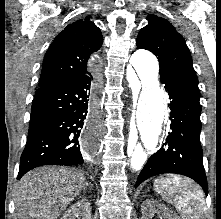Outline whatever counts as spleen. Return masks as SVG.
Returning a JSON list of instances; mask_svg holds the SVG:
<instances>
[{"instance_id": "spleen-1", "label": "spleen", "mask_w": 221, "mask_h": 219, "mask_svg": "<svg viewBox=\"0 0 221 219\" xmlns=\"http://www.w3.org/2000/svg\"><path fill=\"white\" fill-rule=\"evenodd\" d=\"M156 192L174 203L182 219H204L207 208L203 192L190 179L169 175L155 180Z\"/></svg>"}]
</instances>
